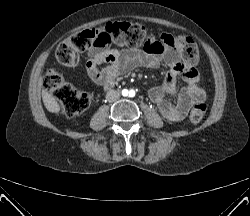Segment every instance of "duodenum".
Returning <instances> with one entry per match:
<instances>
[{
    "mask_svg": "<svg viewBox=\"0 0 250 216\" xmlns=\"http://www.w3.org/2000/svg\"><path fill=\"white\" fill-rule=\"evenodd\" d=\"M112 86H113V82H110V83L106 84L105 87H106L107 89H109V88H111Z\"/></svg>",
    "mask_w": 250,
    "mask_h": 216,
    "instance_id": "1",
    "label": "duodenum"
}]
</instances>
